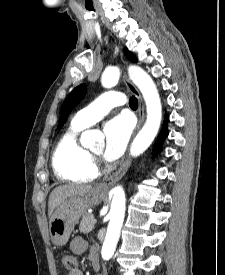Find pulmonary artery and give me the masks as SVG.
I'll list each match as a JSON object with an SVG mask.
<instances>
[{"instance_id":"e3ab8cb5","label":"pulmonary artery","mask_w":225,"mask_h":275,"mask_svg":"<svg viewBox=\"0 0 225 275\" xmlns=\"http://www.w3.org/2000/svg\"><path fill=\"white\" fill-rule=\"evenodd\" d=\"M126 103L123 94L108 91L92 101L87 107L78 111L72 123L82 127H88L100 120L112 108L122 106Z\"/></svg>"}]
</instances>
